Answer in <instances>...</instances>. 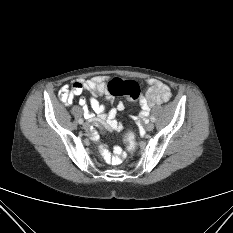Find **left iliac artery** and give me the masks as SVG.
I'll return each mask as SVG.
<instances>
[{
    "label": "left iliac artery",
    "mask_w": 233,
    "mask_h": 233,
    "mask_svg": "<svg viewBox=\"0 0 233 233\" xmlns=\"http://www.w3.org/2000/svg\"><path fill=\"white\" fill-rule=\"evenodd\" d=\"M151 122L154 124L156 122V120L154 119V117H150Z\"/></svg>",
    "instance_id": "left-iliac-artery-1"
}]
</instances>
